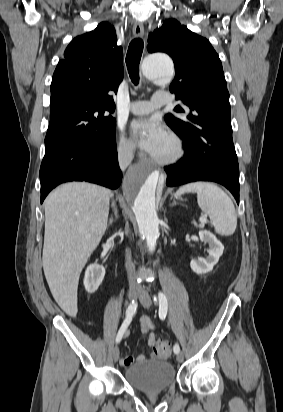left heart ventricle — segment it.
<instances>
[{"label":"left heart ventricle","instance_id":"obj_1","mask_svg":"<svg viewBox=\"0 0 283 412\" xmlns=\"http://www.w3.org/2000/svg\"><path fill=\"white\" fill-rule=\"evenodd\" d=\"M174 152V145L170 138L167 136L159 148L152 153V155L160 158H167L171 156Z\"/></svg>","mask_w":283,"mask_h":412}]
</instances>
